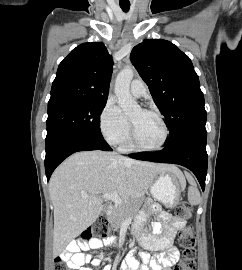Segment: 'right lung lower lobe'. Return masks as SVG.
<instances>
[{"label": "right lung lower lobe", "mask_w": 242, "mask_h": 270, "mask_svg": "<svg viewBox=\"0 0 242 270\" xmlns=\"http://www.w3.org/2000/svg\"><path fill=\"white\" fill-rule=\"evenodd\" d=\"M112 151L103 138L81 134H64L46 143L45 171L49 181L54 169L69 155L78 151Z\"/></svg>", "instance_id": "right-lung-lower-lobe-1"}]
</instances>
